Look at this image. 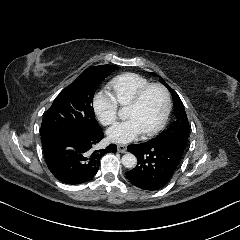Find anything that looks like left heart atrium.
<instances>
[{"mask_svg":"<svg viewBox=\"0 0 240 240\" xmlns=\"http://www.w3.org/2000/svg\"><path fill=\"white\" fill-rule=\"evenodd\" d=\"M141 132L135 121L127 120L111 129L108 132V138L111 142L125 144L136 139Z\"/></svg>","mask_w":240,"mask_h":240,"instance_id":"39dd6f15","label":"left heart atrium"}]
</instances>
